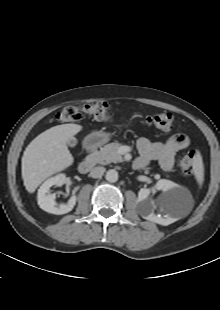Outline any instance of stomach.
<instances>
[{"mask_svg": "<svg viewBox=\"0 0 220 310\" xmlns=\"http://www.w3.org/2000/svg\"><path fill=\"white\" fill-rule=\"evenodd\" d=\"M109 139V135L105 132H93L86 137L85 144L88 147H96L108 142Z\"/></svg>", "mask_w": 220, "mask_h": 310, "instance_id": "0dacf381", "label": "stomach"}]
</instances>
